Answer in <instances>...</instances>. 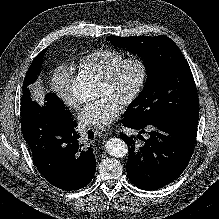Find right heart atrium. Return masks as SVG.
I'll use <instances>...</instances> for the list:
<instances>
[{
  "label": "right heart atrium",
  "instance_id": "obj_1",
  "mask_svg": "<svg viewBox=\"0 0 219 219\" xmlns=\"http://www.w3.org/2000/svg\"><path fill=\"white\" fill-rule=\"evenodd\" d=\"M72 73L65 66L57 67L51 75L50 86L58 99L71 109H78L81 101L76 98L71 90Z\"/></svg>",
  "mask_w": 219,
  "mask_h": 219
}]
</instances>
